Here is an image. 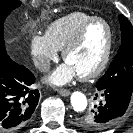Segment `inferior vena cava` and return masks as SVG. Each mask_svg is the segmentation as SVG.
I'll list each match as a JSON object with an SVG mask.
<instances>
[{"label":"inferior vena cava","instance_id":"1","mask_svg":"<svg viewBox=\"0 0 133 133\" xmlns=\"http://www.w3.org/2000/svg\"><path fill=\"white\" fill-rule=\"evenodd\" d=\"M34 64L42 72H46L50 69V60L46 57L36 58Z\"/></svg>","mask_w":133,"mask_h":133}]
</instances>
